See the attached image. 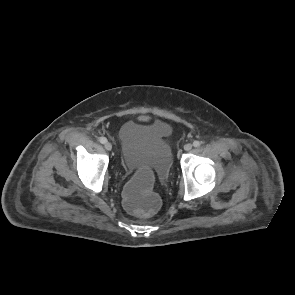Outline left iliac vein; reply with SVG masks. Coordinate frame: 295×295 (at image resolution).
<instances>
[{
  "label": "left iliac vein",
  "mask_w": 295,
  "mask_h": 295,
  "mask_svg": "<svg viewBox=\"0 0 295 295\" xmlns=\"http://www.w3.org/2000/svg\"><path fill=\"white\" fill-rule=\"evenodd\" d=\"M192 149V144L191 143H187L184 145V150L185 151H190Z\"/></svg>",
  "instance_id": "left-iliac-vein-1"
}]
</instances>
